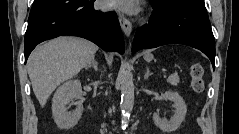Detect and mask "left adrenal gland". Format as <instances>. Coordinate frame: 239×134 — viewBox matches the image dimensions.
<instances>
[{
	"label": "left adrenal gland",
	"mask_w": 239,
	"mask_h": 134,
	"mask_svg": "<svg viewBox=\"0 0 239 134\" xmlns=\"http://www.w3.org/2000/svg\"><path fill=\"white\" fill-rule=\"evenodd\" d=\"M152 74H153V73L150 72L149 68H146V73H145V75H144V79H145V80L148 79V77H149L150 75H152Z\"/></svg>",
	"instance_id": "a2214340"
}]
</instances>
